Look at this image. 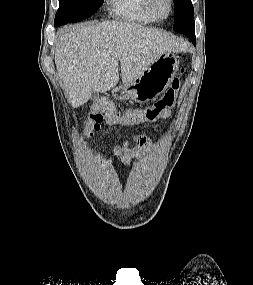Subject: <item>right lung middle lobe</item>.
Instances as JSON below:
<instances>
[{
    "instance_id": "1",
    "label": "right lung middle lobe",
    "mask_w": 253,
    "mask_h": 285,
    "mask_svg": "<svg viewBox=\"0 0 253 285\" xmlns=\"http://www.w3.org/2000/svg\"><path fill=\"white\" fill-rule=\"evenodd\" d=\"M103 0H59L55 22L60 25L83 20L102 5Z\"/></svg>"
}]
</instances>
